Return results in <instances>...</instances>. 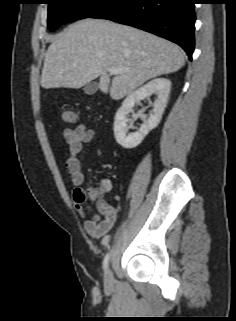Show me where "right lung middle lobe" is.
<instances>
[{
	"label": "right lung middle lobe",
	"instance_id": "dd1d6c3e",
	"mask_svg": "<svg viewBox=\"0 0 236 321\" xmlns=\"http://www.w3.org/2000/svg\"><path fill=\"white\" fill-rule=\"evenodd\" d=\"M111 0H47L48 28L56 30L67 22L90 17Z\"/></svg>",
	"mask_w": 236,
	"mask_h": 321
}]
</instances>
